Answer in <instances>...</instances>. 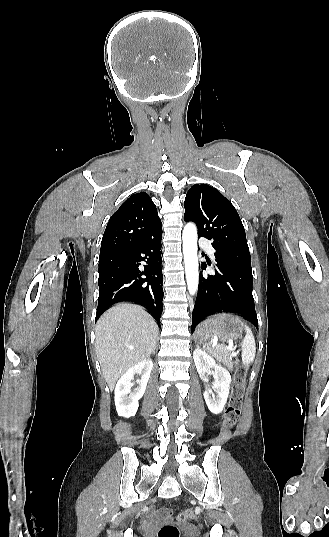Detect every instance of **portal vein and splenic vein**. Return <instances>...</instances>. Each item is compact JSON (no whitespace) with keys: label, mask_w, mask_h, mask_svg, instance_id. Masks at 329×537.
Here are the masks:
<instances>
[{"label":"portal vein and splenic vein","mask_w":329,"mask_h":537,"mask_svg":"<svg viewBox=\"0 0 329 537\" xmlns=\"http://www.w3.org/2000/svg\"><path fill=\"white\" fill-rule=\"evenodd\" d=\"M227 350H233V343L230 341L229 345L226 347ZM235 355V354H233Z\"/></svg>","instance_id":"1"}]
</instances>
